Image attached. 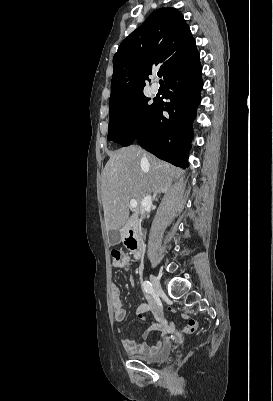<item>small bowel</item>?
<instances>
[{
  "instance_id": "obj_1",
  "label": "small bowel",
  "mask_w": 273,
  "mask_h": 401,
  "mask_svg": "<svg viewBox=\"0 0 273 401\" xmlns=\"http://www.w3.org/2000/svg\"><path fill=\"white\" fill-rule=\"evenodd\" d=\"M111 256L113 258V267L115 269L124 270L129 272L131 270V264L133 262L132 258L129 254L120 249H112ZM129 283L134 286L135 279L133 277L129 278ZM111 304L114 320L117 323H122L126 319V311L123 308L122 300H121V290L116 284H112L111 286ZM151 311L153 314V321L148 326V328L143 332L142 337L146 339L151 332H161V333H172L173 337H178L179 333L175 332L172 323H168L163 315V308L161 304L156 302L143 303L138 307L137 317L141 321L146 320V313ZM169 312L174 311V308L169 307ZM184 320H187L185 327L182 328V333L187 334L189 338H192L195 333V327L198 323L196 318H188L184 317ZM168 341V338L164 337L162 341H158L154 345H148L145 342H136L130 338H123L121 340L122 347L124 350L130 354H140V355H149L158 351L162 345H165Z\"/></svg>"
}]
</instances>
